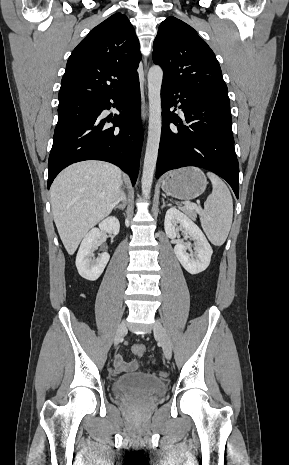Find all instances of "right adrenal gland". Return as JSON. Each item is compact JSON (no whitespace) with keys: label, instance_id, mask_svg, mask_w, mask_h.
<instances>
[{"label":"right adrenal gland","instance_id":"obj_1","mask_svg":"<svg viewBox=\"0 0 289 465\" xmlns=\"http://www.w3.org/2000/svg\"><path fill=\"white\" fill-rule=\"evenodd\" d=\"M125 207H126V201H123L122 204L116 206L114 209H115V210H116V209H119V210H122V211H123V210L125 209Z\"/></svg>","mask_w":289,"mask_h":465}]
</instances>
